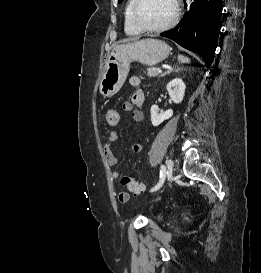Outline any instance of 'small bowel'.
<instances>
[{
  "label": "small bowel",
  "instance_id": "obj_1",
  "mask_svg": "<svg viewBox=\"0 0 261 273\" xmlns=\"http://www.w3.org/2000/svg\"><path fill=\"white\" fill-rule=\"evenodd\" d=\"M130 84L134 87H138L141 84V79L137 76H133L129 80ZM145 103V96L144 93L141 90H137L131 98L130 102H125L123 104V109L126 112H130L131 116L134 121L138 123H144L145 121V116L143 111L141 110L142 106ZM134 106L136 107L134 109ZM118 134L116 131H111L107 137V141L104 147V154L106 157V161L109 166H115L117 164V157L113 153L112 150V144L117 140ZM143 149V146L139 142H134L131 144V150L134 153H139ZM111 177L112 179H118L120 177V173L117 170H113L111 172ZM118 199L122 203H126L129 200V195L125 191H119L118 194Z\"/></svg>",
  "mask_w": 261,
  "mask_h": 273
}]
</instances>
